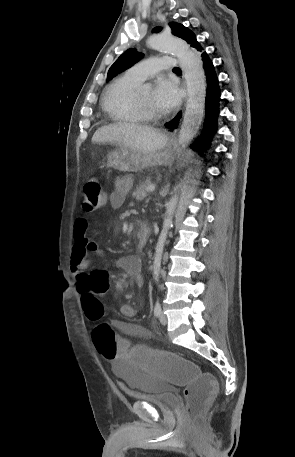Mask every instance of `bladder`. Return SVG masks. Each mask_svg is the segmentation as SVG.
<instances>
[{"label":"bladder","instance_id":"obj_1","mask_svg":"<svg viewBox=\"0 0 295 457\" xmlns=\"http://www.w3.org/2000/svg\"><path fill=\"white\" fill-rule=\"evenodd\" d=\"M121 361H116L112 370L132 397L150 402L161 411L181 410L177 395L169 390L167 378H160V374H142L139 366H123Z\"/></svg>","mask_w":295,"mask_h":457}]
</instances>
